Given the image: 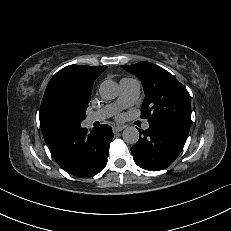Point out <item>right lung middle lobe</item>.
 Masks as SVG:
<instances>
[{
    "label": "right lung middle lobe",
    "instance_id": "right-lung-middle-lobe-1",
    "mask_svg": "<svg viewBox=\"0 0 231 231\" xmlns=\"http://www.w3.org/2000/svg\"><path fill=\"white\" fill-rule=\"evenodd\" d=\"M56 111L61 117L76 124L81 123L82 120L86 118V109L78 108L66 102L58 104L56 107Z\"/></svg>",
    "mask_w": 231,
    "mask_h": 231
}]
</instances>
